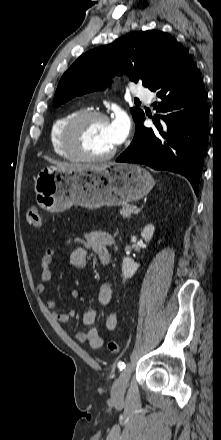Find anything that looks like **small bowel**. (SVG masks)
I'll return each instance as SVG.
<instances>
[{
  "label": "small bowel",
  "mask_w": 221,
  "mask_h": 440,
  "mask_svg": "<svg viewBox=\"0 0 221 440\" xmlns=\"http://www.w3.org/2000/svg\"><path fill=\"white\" fill-rule=\"evenodd\" d=\"M71 242L79 244L70 255V264L77 270H83L87 267L86 254L88 249L92 250L102 262H105L107 259L110 260L108 246L113 243V238L107 232L92 231L86 234L85 240L74 238L66 240L64 243L70 244ZM55 254L56 250L54 248H49L41 259V282L36 288L38 294L41 296H46L47 294V286L51 281V264ZM71 296L73 299H77L79 297V291L73 290ZM112 296V286L109 283L102 284L98 292V302L100 305H108L112 300ZM46 305L51 310H56L58 308V302L51 298L46 299ZM74 315L75 310L73 309L65 312H54L55 319L65 324L69 323ZM96 318V310H89L83 315V323L87 326H91L96 321ZM117 322V315L111 312L107 314L105 318V328L108 331H114L117 327ZM76 337L80 343H87L94 349L100 348L103 344V339L96 328H90L87 331L78 332Z\"/></svg>",
  "instance_id": "1"
}]
</instances>
